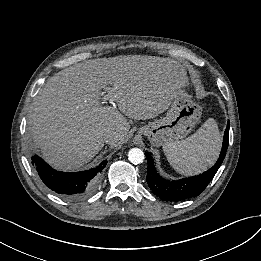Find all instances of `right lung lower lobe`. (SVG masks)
I'll return each mask as SVG.
<instances>
[{
    "mask_svg": "<svg viewBox=\"0 0 261 261\" xmlns=\"http://www.w3.org/2000/svg\"><path fill=\"white\" fill-rule=\"evenodd\" d=\"M31 160L43 183L68 200L81 199L91 194L98 184L100 173L107 164L105 160L93 169L67 173L54 170L37 155L32 156Z\"/></svg>",
    "mask_w": 261,
    "mask_h": 261,
    "instance_id": "1",
    "label": "right lung lower lobe"
}]
</instances>
